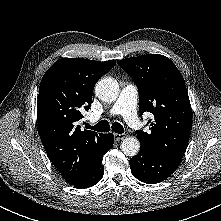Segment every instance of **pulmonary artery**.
Here are the masks:
<instances>
[{
    "mask_svg": "<svg viewBox=\"0 0 221 221\" xmlns=\"http://www.w3.org/2000/svg\"><path fill=\"white\" fill-rule=\"evenodd\" d=\"M138 101V92L135 86H125L117 100L110 107L108 114L121 115L124 121L132 128H137L139 125V119L136 112ZM101 116H92L93 120H98Z\"/></svg>",
    "mask_w": 221,
    "mask_h": 221,
    "instance_id": "pulmonary-artery-1",
    "label": "pulmonary artery"
}]
</instances>
